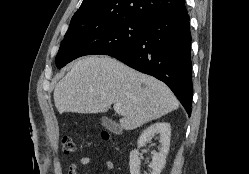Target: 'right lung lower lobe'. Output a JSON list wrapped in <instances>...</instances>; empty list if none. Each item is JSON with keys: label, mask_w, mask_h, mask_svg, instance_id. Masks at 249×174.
Returning a JSON list of instances; mask_svg holds the SVG:
<instances>
[{"label": "right lung lower lobe", "mask_w": 249, "mask_h": 174, "mask_svg": "<svg viewBox=\"0 0 249 174\" xmlns=\"http://www.w3.org/2000/svg\"><path fill=\"white\" fill-rule=\"evenodd\" d=\"M191 33L186 8L145 21L141 37L120 53H109L126 65L166 83L191 114Z\"/></svg>", "instance_id": "1"}]
</instances>
